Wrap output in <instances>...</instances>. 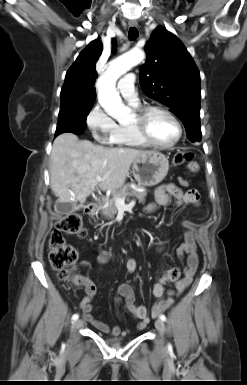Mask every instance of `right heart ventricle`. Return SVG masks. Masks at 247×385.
<instances>
[{"instance_id": "e07e8e85", "label": "right heart ventricle", "mask_w": 247, "mask_h": 385, "mask_svg": "<svg viewBox=\"0 0 247 385\" xmlns=\"http://www.w3.org/2000/svg\"><path fill=\"white\" fill-rule=\"evenodd\" d=\"M113 144L128 147H145L146 143L137 135L131 124H117Z\"/></svg>"}]
</instances>
